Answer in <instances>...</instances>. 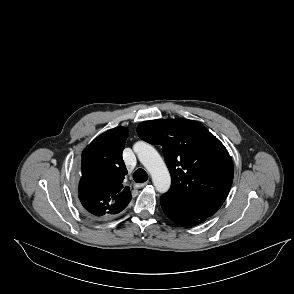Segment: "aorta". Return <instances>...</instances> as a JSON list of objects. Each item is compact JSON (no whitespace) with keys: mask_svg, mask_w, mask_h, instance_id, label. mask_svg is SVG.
<instances>
[{"mask_svg":"<svg viewBox=\"0 0 294 294\" xmlns=\"http://www.w3.org/2000/svg\"><path fill=\"white\" fill-rule=\"evenodd\" d=\"M139 161L149 171L156 190L165 193L171 185L169 171L159 153L153 146L145 142H137L134 145Z\"/></svg>","mask_w":294,"mask_h":294,"instance_id":"762f6f07","label":"aorta"}]
</instances>
